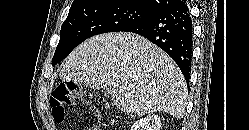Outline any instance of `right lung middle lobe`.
Wrapping results in <instances>:
<instances>
[{"mask_svg":"<svg viewBox=\"0 0 249 130\" xmlns=\"http://www.w3.org/2000/svg\"><path fill=\"white\" fill-rule=\"evenodd\" d=\"M155 12L128 1L100 0L69 10L60 31V41L52 59L55 66L81 42L92 36L123 31L153 17Z\"/></svg>","mask_w":249,"mask_h":130,"instance_id":"1","label":"right lung middle lobe"}]
</instances>
